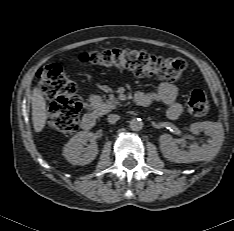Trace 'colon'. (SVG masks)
<instances>
[{
    "instance_id": "obj_1",
    "label": "colon",
    "mask_w": 234,
    "mask_h": 231,
    "mask_svg": "<svg viewBox=\"0 0 234 231\" xmlns=\"http://www.w3.org/2000/svg\"><path fill=\"white\" fill-rule=\"evenodd\" d=\"M80 62L130 70L138 77H153L174 82L181 78L186 62L180 57L154 56L144 51L111 49L84 53ZM38 85L43 95L52 100L47 123L52 129L63 135H72L78 127L81 104L77 97V86L56 64L43 67L38 73ZM186 110L193 117L204 116L209 110V103L204 91L195 89L191 92Z\"/></svg>"
}]
</instances>
